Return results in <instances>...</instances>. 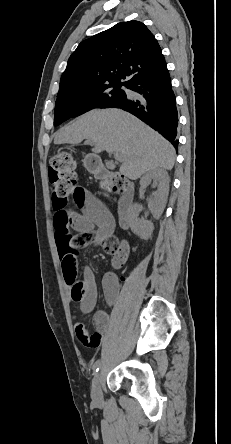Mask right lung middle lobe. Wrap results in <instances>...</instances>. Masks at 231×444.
I'll list each match as a JSON object with an SVG mask.
<instances>
[{"instance_id": "1", "label": "right lung middle lobe", "mask_w": 231, "mask_h": 444, "mask_svg": "<svg viewBox=\"0 0 231 444\" xmlns=\"http://www.w3.org/2000/svg\"><path fill=\"white\" fill-rule=\"evenodd\" d=\"M123 83H112L86 89L64 92L57 95L54 125L58 126L69 118L79 116L94 108L111 107L127 97Z\"/></svg>"}]
</instances>
